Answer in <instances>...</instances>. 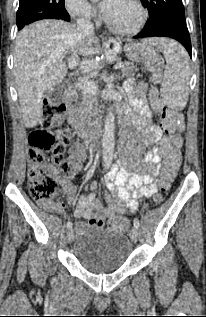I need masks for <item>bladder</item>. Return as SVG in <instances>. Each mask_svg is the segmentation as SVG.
Listing matches in <instances>:
<instances>
[{"mask_svg": "<svg viewBox=\"0 0 206 317\" xmlns=\"http://www.w3.org/2000/svg\"><path fill=\"white\" fill-rule=\"evenodd\" d=\"M131 253L132 244L125 234L100 227L87 228L73 246L75 259L83 268L94 272L119 269Z\"/></svg>", "mask_w": 206, "mask_h": 317, "instance_id": "1", "label": "bladder"}]
</instances>
